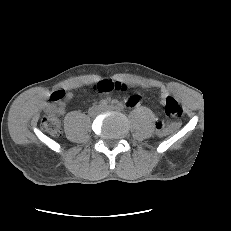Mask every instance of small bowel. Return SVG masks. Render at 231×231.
<instances>
[{
  "instance_id": "c3829d8e",
  "label": "small bowel",
  "mask_w": 231,
  "mask_h": 231,
  "mask_svg": "<svg viewBox=\"0 0 231 231\" xmlns=\"http://www.w3.org/2000/svg\"><path fill=\"white\" fill-rule=\"evenodd\" d=\"M121 85H123L126 89L128 87V83L125 81H118ZM61 94L60 99L56 101H51V107L55 105V111L58 115H63L65 113V101H69L73 98L72 92L58 90L56 91ZM163 97L167 96V92L163 90L162 92ZM138 97L135 95H131L127 98V104L130 107H134L138 104ZM57 103V104H56Z\"/></svg>"
}]
</instances>
